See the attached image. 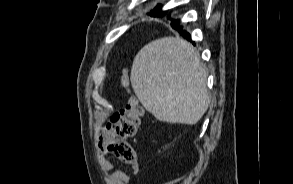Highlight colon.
Returning a JSON list of instances; mask_svg holds the SVG:
<instances>
[{"label": "colon", "instance_id": "obj_1", "mask_svg": "<svg viewBox=\"0 0 293 184\" xmlns=\"http://www.w3.org/2000/svg\"><path fill=\"white\" fill-rule=\"evenodd\" d=\"M121 81L124 87L129 86L126 71ZM142 116L141 104L134 96H130L125 106L111 117L101 145L102 152L124 163L135 164L136 154L128 139L136 134Z\"/></svg>", "mask_w": 293, "mask_h": 184}]
</instances>
